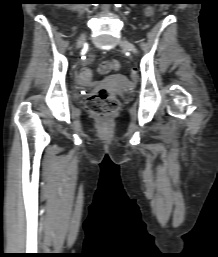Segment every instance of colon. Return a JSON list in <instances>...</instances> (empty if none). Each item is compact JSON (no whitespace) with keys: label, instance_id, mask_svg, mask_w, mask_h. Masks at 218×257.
<instances>
[{"label":"colon","instance_id":"colon-1","mask_svg":"<svg viewBox=\"0 0 218 257\" xmlns=\"http://www.w3.org/2000/svg\"><path fill=\"white\" fill-rule=\"evenodd\" d=\"M170 5V2H161L159 13H166V9L170 7ZM120 65V61L106 60L99 66V72L102 74L116 75V70L119 69ZM95 75L96 70H91L90 67L78 68V85L98 87L99 83L95 82L97 81V76ZM131 80H137L136 73H132ZM86 105L88 111L104 124H107L120 108V102L117 96L107 89H99L92 93L87 99Z\"/></svg>","mask_w":218,"mask_h":257}]
</instances>
